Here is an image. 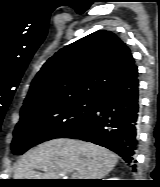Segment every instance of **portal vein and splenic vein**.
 Wrapping results in <instances>:
<instances>
[{
  "label": "portal vein and splenic vein",
  "mask_w": 160,
  "mask_h": 187,
  "mask_svg": "<svg viewBox=\"0 0 160 187\" xmlns=\"http://www.w3.org/2000/svg\"><path fill=\"white\" fill-rule=\"evenodd\" d=\"M71 177H72V178H76V173H73V174L71 175Z\"/></svg>",
  "instance_id": "obj_1"
}]
</instances>
